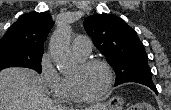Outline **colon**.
Returning <instances> with one entry per match:
<instances>
[{
    "instance_id": "1",
    "label": "colon",
    "mask_w": 171,
    "mask_h": 110,
    "mask_svg": "<svg viewBox=\"0 0 171 110\" xmlns=\"http://www.w3.org/2000/svg\"><path fill=\"white\" fill-rule=\"evenodd\" d=\"M128 110H136V106H131Z\"/></svg>"
}]
</instances>
